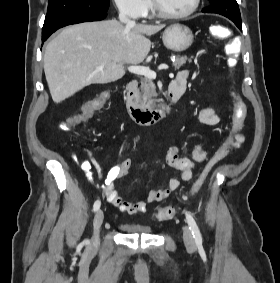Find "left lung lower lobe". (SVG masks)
Returning a JSON list of instances; mask_svg holds the SVG:
<instances>
[{"instance_id":"1","label":"left lung lower lobe","mask_w":280,"mask_h":283,"mask_svg":"<svg viewBox=\"0 0 280 283\" xmlns=\"http://www.w3.org/2000/svg\"><path fill=\"white\" fill-rule=\"evenodd\" d=\"M231 21L234 22V24L242 31V24L241 21L237 20V19H230Z\"/></svg>"}]
</instances>
